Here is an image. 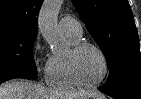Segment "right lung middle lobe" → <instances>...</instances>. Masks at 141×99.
<instances>
[{"mask_svg":"<svg viewBox=\"0 0 141 99\" xmlns=\"http://www.w3.org/2000/svg\"><path fill=\"white\" fill-rule=\"evenodd\" d=\"M37 32L0 30V76L23 72L37 74L32 55Z\"/></svg>","mask_w":141,"mask_h":99,"instance_id":"1","label":"right lung middle lobe"}]
</instances>
